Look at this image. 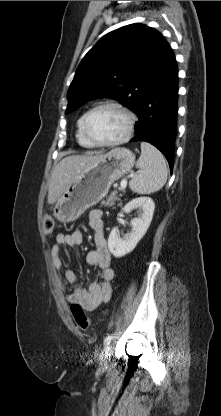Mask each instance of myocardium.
I'll return each instance as SVG.
<instances>
[{
	"mask_svg": "<svg viewBox=\"0 0 221 416\" xmlns=\"http://www.w3.org/2000/svg\"><path fill=\"white\" fill-rule=\"evenodd\" d=\"M104 107H113L118 109L120 112H122L126 119H127V125H126V129L125 132L118 138L111 140V141H98L96 139H94L87 128L88 125V120L90 118V116L96 112L97 110L104 108ZM135 122H136V117L134 115V113L125 105H123L122 103L118 102V101H114V100H107V101H103L98 103L97 105L93 106L91 109H89L85 115L83 116L82 119V124H81V128H82V132L83 135L94 145V146H101V147H111V146H116L119 144H122L124 142H126L133 134L134 131V127H135Z\"/></svg>",
	"mask_w": 221,
	"mask_h": 416,
	"instance_id": "1",
	"label": "myocardium"
}]
</instances>
